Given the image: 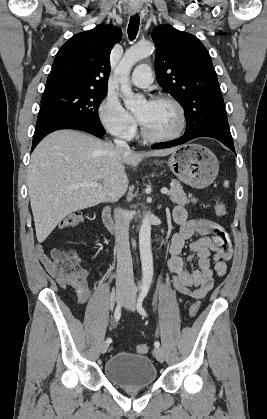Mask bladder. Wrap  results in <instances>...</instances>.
Segmentation results:
<instances>
[{
    "label": "bladder",
    "mask_w": 267,
    "mask_h": 419,
    "mask_svg": "<svg viewBox=\"0 0 267 419\" xmlns=\"http://www.w3.org/2000/svg\"><path fill=\"white\" fill-rule=\"evenodd\" d=\"M104 375L123 388L148 387L156 381L157 369L146 355L118 352L106 361Z\"/></svg>",
    "instance_id": "bladder-1"
}]
</instances>
